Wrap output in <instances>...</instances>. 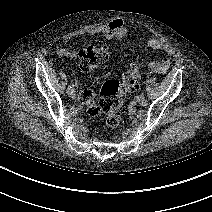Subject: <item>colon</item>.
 Here are the masks:
<instances>
[{
  "label": "colon",
  "instance_id": "colon-1",
  "mask_svg": "<svg viewBox=\"0 0 212 212\" xmlns=\"http://www.w3.org/2000/svg\"><path fill=\"white\" fill-rule=\"evenodd\" d=\"M109 54L105 47H87L80 51V67L83 71L92 70L108 60ZM144 74L137 64H132L121 77V80L109 79L103 83L99 93V100L95 101L94 93L89 90L87 96L81 100L91 117H104V126L116 129L120 125L125 102L131 90L139 84Z\"/></svg>",
  "mask_w": 212,
  "mask_h": 212
}]
</instances>
